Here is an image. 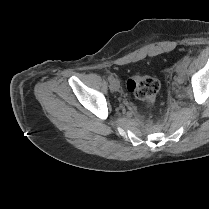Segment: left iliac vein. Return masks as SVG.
<instances>
[{"label":"left iliac vein","instance_id":"4c4485c4","mask_svg":"<svg viewBox=\"0 0 209 209\" xmlns=\"http://www.w3.org/2000/svg\"><path fill=\"white\" fill-rule=\"evenodd\" d=\"M186 67H187V64L183 60L182 61H179L178 64H177V66H176V72L179 75V80L178 81L180 83L182 82L181 78H182V76H183V74L185 72Z\"/></svg>","mask_w":209,"mask_h":209}]
</instances>
